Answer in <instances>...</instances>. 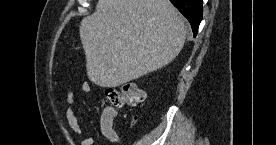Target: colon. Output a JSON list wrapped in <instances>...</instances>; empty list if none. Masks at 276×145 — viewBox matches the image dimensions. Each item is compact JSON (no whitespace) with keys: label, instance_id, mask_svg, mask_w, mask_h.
Returning <instances> with one entry per match:
<instances>
[{"label":"colon","instance_id":"obj_1","mask_svg":"<svg viewBox=\"0 0 276 145\" xmlns=\"http://www.w3.org/2000/svg\"><path fill=\"white\" fill-rule=\"evenodd\" d=\"M106 96L116 107H139L145 101L144 91L131 82L123 84L119 89H108Z\"/></svg>","mask_w":276,"mask_h":145}]
</instances>
